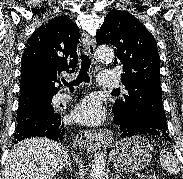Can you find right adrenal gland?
I'll return each mask as SVG.
<instances>
[{
  "label": "right adrenal gland",
  "instance_id": "2a0ac1e0",
  "mask_svg": "<svg viewBox=\"0 0 183 179\" xmlns=\"http://www.w3.org/2000/svg\"><path fill=\"white\" fill-rule=\"evenodd\" d=\"M65 168H66V169H68V168H69L70 170H72V166H71L70 161H68V162L66 163Z\"/></svg>",
  "mask_w": 183,
  "mask_h": 179
}]
</instances>
